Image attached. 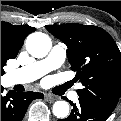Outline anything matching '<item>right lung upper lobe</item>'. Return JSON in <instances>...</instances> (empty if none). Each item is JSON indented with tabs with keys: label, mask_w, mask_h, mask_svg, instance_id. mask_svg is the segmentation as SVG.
Masks as SVG:
<instances>
[{
	"label": "right lung upper lobe",
	"mask_w": 121,
	"mask_h": 121,
	"mask_svg": "<svg viewBox=\"0 0 121 121\" xmlns=\"http://www.w3.org/2000/svg\"><path fill=\"white\" fill-rule=\"evenodd\" d=\"M35 31L29 25L13 26L8 22H1V47L11 58H15L28 34Z\"/></svg>",
	"instance_id": "obj_1"
}]
</instances>
